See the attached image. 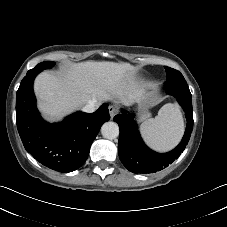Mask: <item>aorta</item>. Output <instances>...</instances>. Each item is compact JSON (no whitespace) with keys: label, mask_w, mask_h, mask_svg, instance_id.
<instances>
[{"label":"aorta","mask_w":227,"mask_h":227,"mask_svg":"<svg viewBox=\"0 0 227 227\" xmlns=\"http://www.w3.org/2000/svg\"><path fill=\"white\" fill-rule=\"evenodd\" d=\"M101 134L104 138L113 140L119 135V127L115 122H106L101 127Z\"/></svg>","instance_id":"762f6f07"}]
</instances>
